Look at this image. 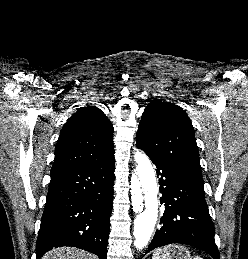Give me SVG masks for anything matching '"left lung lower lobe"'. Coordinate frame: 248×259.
Here are the masks:
<instances>
[{
    "label": "left lung lower lobe",
    "instance_id": "obj_1",
    "mask_svg": "<svg viewBox=\"0 0 248 259\" xmlns=\"http://www.w3.org/2000/svg\"><path fill=\"white\" fill-rule=\"evenodd\" d=\"M141 149L156 165L157 176H160V193H162L160 202L165 203L160 221L161 227L156 231L145 254L157 247L182 243L197 247L214 259H220L203 185L189 181L167 162Z\"/></svg>",
    "mask_w": 248,
    "mask_h": 259
}]
</instances>
